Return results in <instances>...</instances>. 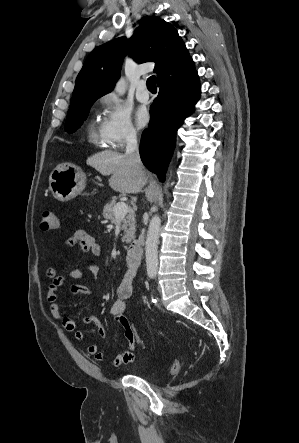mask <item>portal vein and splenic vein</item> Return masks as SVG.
Here are the masks:
<instances>
[{
    "label": "portal vein and splenic vein",
    "mask_w": 299,
    "mask_h": 443,
    "mask_svg": "<svg viewBox=\"0 0 299 443\" xmlns=\"http://www.w3.org/2000/svg\"><path fill=\"white\" fill-rule=\"evenodd\" d=\"M129 208L128 205L124 202H119L114 207V214L117 219H122L128 213Z\"/></svg>",
    "instance_id": "portal-vein-and-splenic-vein-1"
}]
</instances>
